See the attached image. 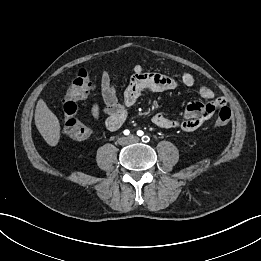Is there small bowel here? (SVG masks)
<instances>
[{
  "label": "small bowel",
  "instance_id": "obj_1",
  "mask_svg": "<svg viewBox=\"0 0 261 261\" xmlns=\"http://www.w3.org/2000/svg\"><path fill=\"white\" fill-rule=\"evenodd\" d=\"M179 85L194 88L195 78L186 71L180 72L179 79L159 73L145 72L144 67L137 64L134 66V74L124 91L123 102H120L111 75L104 72L101 77V93L105 106L102 109L98 103H94L91 107V115L95 120H99L103 112L107 128L117 130L126 119L127 108L131 107L144 91L163 92L175 89ZM198 92L205 102H190L182 120H175L158 113L152 117V122L164 130L180 129L185 132L197 130L212 117L217 109L226 105L225 98L216 97L213 90L206 85L200 86ZM86 94L87 92L79 93L78 100L85 98Z\"/></svg>",
  "mask_w": 261,
  "mask_h": 261
}]
</instances>
